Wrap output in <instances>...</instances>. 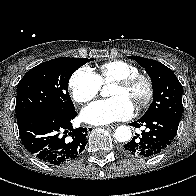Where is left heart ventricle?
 <instances>
[{"label": "left heart ventricle", "mask_w": 196, "mask_h": 196, "mask_svg": "<svg viewBox=\"0 0 196 196\" xmlns=\"http://www.w3.org/2000/svg\"><path fill=\"white\" fill-rule=\"evenodd\" d=\"M145 95V86L143 83H138L131 88H123L118 85H112L109 91V96L124 97L133 105L140 102Z\"/></svg>", "instance_id": "obj_1"}]
</instances>
